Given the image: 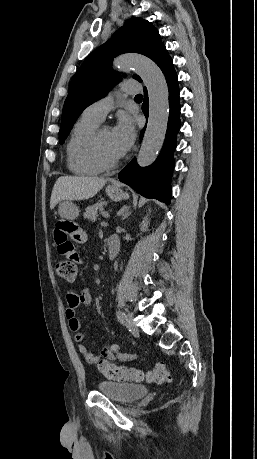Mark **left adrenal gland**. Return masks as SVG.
<instances>
[{
	"mask_svg": "<svg viewBox=\"0 0 257 459\" xmlns=\"http://www.w3.org/2000/svg\"><path fill=\"white\" fill-rule=\"evenodd\" d=\"M119 213L122 217V220H125L131 214L130 206H123Z\"/></svg>",
	"mask_w": 257,
	"mask_h": 459,
	"instance_id": "1",
	"label": "left adrenal gland"
}]
</instances>
